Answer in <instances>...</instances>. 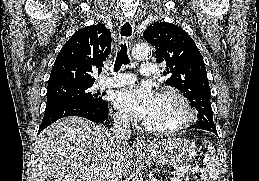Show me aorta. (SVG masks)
Listing matches in <instances>:
<instances>
[{"mask_svg":"<svg viewBox=\"0 0 259 181\" xmlns=\"http://www.w3.org/2000/svg\"><path fill=\"white\" fill-rule=\"evenodd\" d=\"M151 54V49L146 43L136 44L132 49V56L136 59L148 58ZM132 181H140L137 177H133Z\"/></svg>","mask_w":259,"mask_h":181,"instance_id":"1","label":"aorta"}]
</instances>
